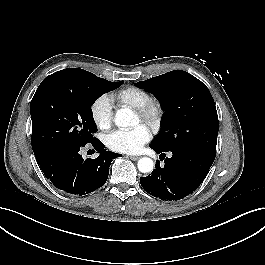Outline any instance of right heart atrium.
<instances>
[{
	"label": "right heart atrium",
	"instance_id": "right-heart-atrium-1",
	"mask_svg": "<svg viewBox=\"0 0 265 265\" xmlns=\"http://www.w3.org/2000/svg\"><path fill=\"white\" fill-rule=\"evenodd\" d=\"M90 114L95 125L101 130H107L113 123V103L109 96H99L90 107Z\"/></svg>",
	"mask_w": 265,
	"mask_h": 265
}]
</instances>
